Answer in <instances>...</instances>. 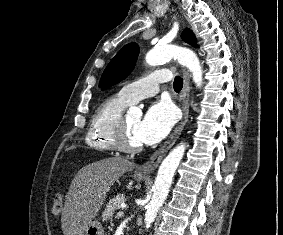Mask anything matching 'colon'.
<instances>
[{"instance_id": "colon-1", "label": "colon", "mask_w": 283, "mask_h": 235, "mask_svg": "<svg viewBox=\"0 0 283 235\" xmlns=\"http://www.w3.org/2000/svg\"><path fill=\"white\" fill-rule=\"evenodd\" d=\"M63 205V196L60 193L55 194L53 198V204H52V213L53 214H58Z\"/></svg>"}]
</instances>
